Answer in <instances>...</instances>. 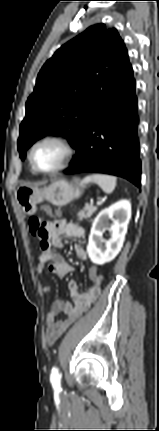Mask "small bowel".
<instances>
[{"label": "small bowel", "mask_w": 159, "mask_h": 431, "mask_svg": "<svg viewBox=\"0 0 159 431\" xmlns=\"http://www.w3.org/2000/svg\"><path fill=\"white\" fill-rule=\"evenodd\" d=\"M66 235L71 238L85 237V230L74 223L64 219H56L44 222V234L38 236L40 242L39 263L37 271L42 273L46 268L59 278L65 277L73 271V267L63 258L55 253L53 248L61 249V236ZM77 256L86 259L87 255L83 248L76 247ZM96 274V285L91 286L86 292H81L78 283L70 280L68 290L71 301L56 300L47 314L46 336L49 345L54 344L67 328L78 319L98 298L101 291V276ZM50 286L45 287L46 292H50Z\"/></svg>", "instance_id": "obj_1"}]
</instances>
